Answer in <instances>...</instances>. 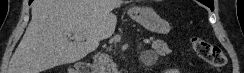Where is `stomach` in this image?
I'll return each instance as SVG.
<instances>
[{
	"label": "stomach",
	"mask_w": 244,
	"mask_h": 73,
	"mask_svg": "<svg viewBox=\"0 0 244 73\" xmlns=\"http://www.w3.org/2000/svg\"><path fill=\"white\" fill-rule=\"evenodd\" d=\"M128 14L152 33L165 35L171 30L170 23L150 7H134L129 10Z\"/></svg>",
	"instance_id": "1"
}]
</instances>
